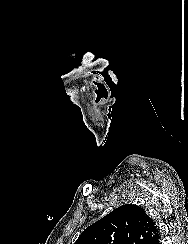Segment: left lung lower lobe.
Wrapping results in <instances>:
<instances>
[{
	"label": "left lung lower lobe",
	"mask_w": 188,
	"mask_h": 244,
	"mask_svg": "<svg viewBox=\"0 0 188 244\" xmlns=\"http://www.w3.org/2000/svg\"><path fill=\"white\" fill-rule=\"evenodd\" d=\"M150 244H160V235L159 232L156 235V237L153 239V241Z\"/></svg>",
	"instance_id": "left-lung-lower-lobe-1"
}]
</instances>
